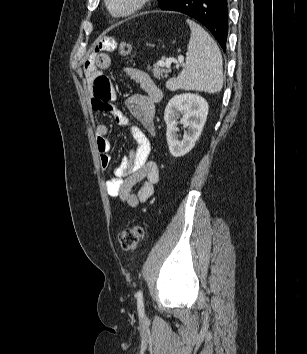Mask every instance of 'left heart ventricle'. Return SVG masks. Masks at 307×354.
<instances>
[{"label": "left heart ventricle", "mask_w": 307, "mask_h": 354, "mask_svg": "<svg viewBox=\"0 0 307 354\" xmlns=\"http://www.w3.org/2000/svg\"><path fill=\"white\" fill-rule=\"evenodd\" d=\"M132 0H112V7L115 11L124 10Z\"/></svg>", "instance_id": "left-heart-ventricle-1"}]
</instances>
